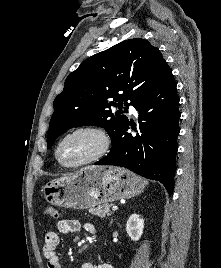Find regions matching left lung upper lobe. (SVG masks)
I'll return each instance as SVG.
<instances>
[{"mask_svg": "<svg viewBox=\"0 0 221 268\" xmlns=\"http://www.w3.org/2000/svg\"><path fill=\"white\" fill-rule=\"evenodd\" d=\"M172 77L161 53L144 39L125 40L91 56L69 74L53 102L47 147L70 128L84 125L105 128L113 140L128 121L121 115L128 111H122L123 101L134 105ZM111 106L120 110L113 113Z\"/></svg>", "mask_w": 221, "mask_h": 268, "instance_id": "5c2ea615", "label": "left lung upper lobe"}]
</instances>
